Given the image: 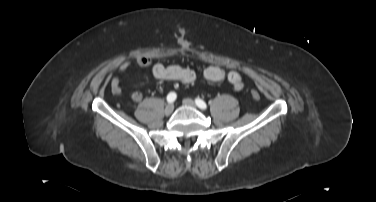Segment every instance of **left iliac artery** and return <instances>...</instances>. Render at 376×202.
<instances>
[{
    "label": "left iliac artery",
    "mask_w": 376,
    "mask_h": 202,
    "mask_svg": "<svg viewBox=\"0 0 376 202\" xmlns=\"http://www.w3.org/2000/svg\"><path fill=\"white\" fill-rule=\"evenodd\" d=\"M195 102H196V105H197L199 108H201V109H206V108H207L206 103H205L202 99L197 98V99H195Z\"/></svg>",
    "instance_id": "1"
}]
</instances>
